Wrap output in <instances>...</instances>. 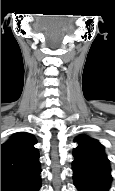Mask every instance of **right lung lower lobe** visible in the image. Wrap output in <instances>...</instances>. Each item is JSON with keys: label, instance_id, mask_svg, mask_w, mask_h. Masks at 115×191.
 Here are the masks:
<instances>
[{"label": "right lung lower lobe", "instance_id": "obj_1", "mask_svg": "<svg viewBox=\"0 0 115 191\" xmlns=\"http://www.w3.org/2000/svg\"><path fill=\"white\" fill-rule=\"evenodd\" d=\"M40 168L32 173L1 177V191H39Z\"/></svg>", "mask_w": 115, "mask_h": 191}]
</instances>
